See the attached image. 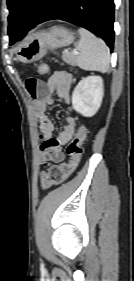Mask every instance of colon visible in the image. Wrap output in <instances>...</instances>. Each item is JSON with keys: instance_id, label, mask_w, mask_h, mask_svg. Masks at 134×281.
Returning <instances> with one entry per match:
<instances>
[{"instance_id": "colon-1", "label": "colon", "mask_w": 134, "mask_h": 281, "mask_svg": "<svg viewBox=\"0 0 134 281\" xmlns=\"http://www.w3.org/2000/svg\"><path fill=\"white\" fill-rule=\"evenodd\" d=\"M37 71L40 75H46L49 71V66L46 63H40L37 67ZM86 135L87 129L84 125H81L66 148L69 162L53 165L42 173L41 185L43 189H48L63 183L77 169L83 155V144Z\"/></svg>"}]
</instances>
